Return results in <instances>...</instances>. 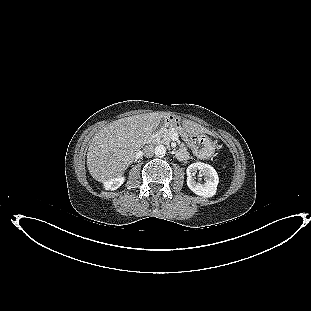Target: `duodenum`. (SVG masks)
Here are the masks:
<instances>
[{
    "instance_id": "410a0bca",
    "label": "duodenum",
    "mask_w": 311,
    "mask_h": 311,
    "mask_svg": "<svg viewBox=\"0 0 311 311\" xmlns=\"http://www.w3.org/2000/svg\"><path fill=\"white\" fill-rule=\"evenodd\" d=\"M170 123V119H167V124H169Z\"/></svg>"
}]
</instances>
